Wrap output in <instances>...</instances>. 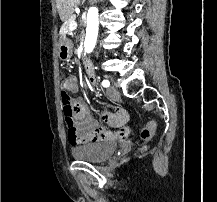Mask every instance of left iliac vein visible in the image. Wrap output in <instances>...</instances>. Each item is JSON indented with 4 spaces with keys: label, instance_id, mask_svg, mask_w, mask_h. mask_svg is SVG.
Masks as SVG:
<instances>
[{
    "label": "left iliac vein",
    "instance_id": "1",
    "mask_svg": "<svg viewBox=\"0 0 217 202\" xmlns=\"http://www.w3.org/2000/svg\"><path fill=\"white\" fill-rule=\"evenodd\" d=\"M107 95H108V97L111 98V99H115V98H119V97H120L119 91H118L117 88L114 87V86H110V87L107 89Z\"/></svg>",
    "mask_w": 217,
    "mask_h": 202
}]
</instances>
